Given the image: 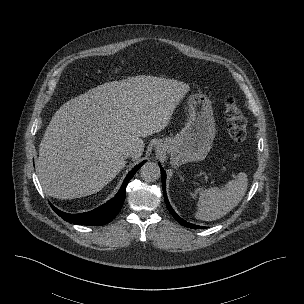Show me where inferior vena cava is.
<instances>
[{
	"mask_svg": "<svg viewBox=\"0 0 304 304\" xmlns=\"http://www.w3.org/2000/svg\"><path fill=\"white\" fill-rule=\"evenodd\" d=\"M137 153H138V150H137V149L130 147V148H128V149L126 150L125 156H126V157H132V158H133V157H135V156L137 155Z\"/></svg>",
	"mask_w": 304,
	"mask_h": 304,
	"instance_id": "1",
	"label": "inferior vena cava"
}]
</instances>
